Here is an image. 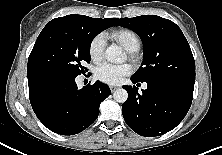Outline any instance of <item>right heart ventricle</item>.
Here are the masks:
<instances>
[{
  "instance_id": "e07e8e85",
  "label": "right heart ventricle",
  "mask_w": 222,
  "mask_h": 155,
  "mask_svg": "<svg viewBox=\"0 0 222 155\" xmlns=\"http://www.w3.org/2000/svg\"><path fill=\"white\" fill-rule=\"evenodd\" d=\"M112 37L120 45H122L127 51L135 52L139 50L141 46V41L139 36L130 29H118L112 32Z\"/></svg>"
}]
</instances>
